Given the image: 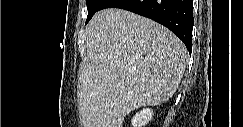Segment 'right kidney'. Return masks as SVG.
Returning <instances> with one entry per match:
<instances>
[{
    "label": "right kidney",
    "mask_w": 243,
    "mask_h": 127,
    "mask_svg": "<svg viewBox=\"0 0 243 127\" xmlns=\"http://www.w3.org/2000/svg\"><path fill=\"white\" fill-rule=\"evenodd\" d=\"M153 116V110L150 108H146L136 113V115L132 119L133 127H142L145 126L149 121H151Z\"/></svg>",
    "instance_id": "right-kidney-1"
}]
</instances>
